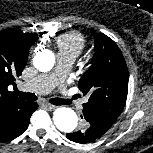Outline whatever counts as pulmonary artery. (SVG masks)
<instances>
[{
    "instance_id": "pulmonary-artery-1",
    "label": "pulmonary artery",
    "mask_w": 153,
    "mask_h": 153,
    "mask_svg": "<svg viewBox=\"0 0 153 153\" xmlns=\"http://www.w3.org/2000/svg\"><path fill=\"white\" fill-rule=\"evenodd\" d=\"M75 58L67 55H57V68L53 73L42 74L23 84V89L39 94L51 91L58 85H61L66 74L74 63ZM64 99H71L69 93L63 89Z\"/></svg>"
}]
</instances>
